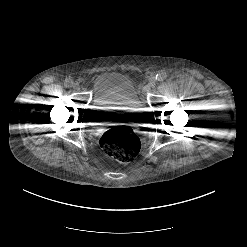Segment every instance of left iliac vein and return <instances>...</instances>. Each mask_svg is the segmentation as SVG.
<instances>
[{"label":"left iliac vein","instance_id":"left-iliac-vein-1","mask_svg":"<svg viewBox=\"0 0 247 247\" xmlns=\"http://www.w3.org/2000/svg\"><path fill=\"white\" fill-rule=\"evenodd\" d=\"M155 85H156V80H155V79H151V80H149V82H148L146 88L149 90V89H151V88H154Z\"/></svg>","mask_w":247,"mask_h":247}]
</instances>
